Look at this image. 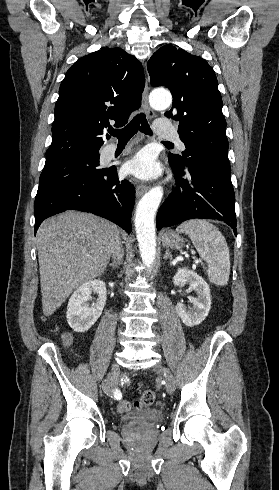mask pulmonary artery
I'll return each instance as SVG.
<instances>
[{"instance_id": "1", "label": "pulmonary artery", "mask_w": 279, "mask_h": 490, "mask_svg": "<svg viewBox=\"0 0 279 490\" xmlns=\"http://www.w3.org/2000/svg\"><path fill=\"white\" fill-rule=\"evenodd\" d=\"M154 131H157L159 140H175L176 133L172 130L171 122H168L166 117H158L153 124ZM179 148L185 149V145L182 142H178ZM113 150V147H109Z\"/></svg>"}]
</instances>
